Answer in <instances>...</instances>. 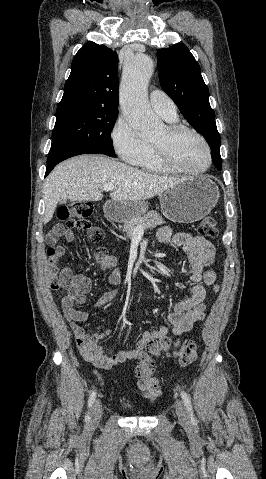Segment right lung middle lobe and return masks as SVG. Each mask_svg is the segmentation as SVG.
<instances>
[{
    "instance_id": "obj_1",
    "label": "right lung middle lobe",
    "mask_w": 266,
    "mask_h": 479,
    "mask_svg": "<svg viewBox=\"0 0 266 479\" xmlns=\"http://www.w3.org/2000/svg\"><path fill=\"white\" fill-rule=\"evenodd\" d=\"M117 111L65 112L56 114L52 145L115 156L111 142Z\"/></svg>"
}]
</instances>
